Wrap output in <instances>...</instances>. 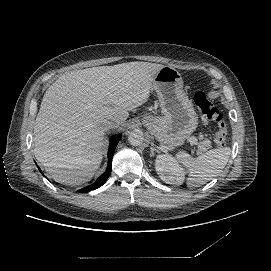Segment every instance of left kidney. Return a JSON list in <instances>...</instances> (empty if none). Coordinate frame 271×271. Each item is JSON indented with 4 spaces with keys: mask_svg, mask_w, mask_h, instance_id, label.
Wrapping results in <instances>:
<instances>
[{
    "mask_svg": "<svg viewBox=\"0 0 271 271\" xmlns=\"http://www.w3.org/2000/svg\"><path fill=\"white\" fill-rule=\"evenodd\" d=\"M157 174L167 184L181 185L184 172L173 157L168 154L158 155L155 161Z\"/></svg>",
    "mask_w": 271,
    "mask_h": 271,
    "instance_id": "left-kidney-1",
    "label": "left kidney"
}]
</instances>
